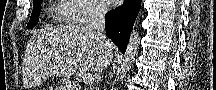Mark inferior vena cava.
I'll use <instances>...</instances> for the list:
<instances>
[{
  "label": "inferior vena cava",
  "mask_w": 216,
  "mask_h": 90,
  "mask_svg": "<svg viewBox=\"0 0 216 90\" xmlns=\"http://www.w3.org/2000/svg\"><path fill=\"white\" fill-rule=\"evenodd\" d=\"M108 12L107 4H101V2H96L90 8V20L87 24L88 32H93L96 36H99L102 46H103V64L102 68H99L98 72H102L107 68L108 64L112 62V52L110 50L111 44L105 34V14Z\"/></svg>",
  "instance_id": "1"
}]
</instances>
